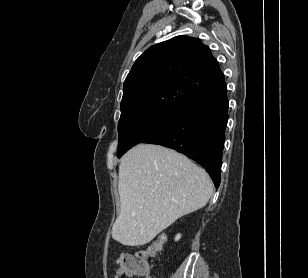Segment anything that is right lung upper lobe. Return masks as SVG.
<instances>
[{
    "mask_svg": "<svg viewBox=\"0 0 308 278\" xmlns=\"http://www.w3.org/2000/svg\"><path fill=\"white\" fill-rule=\"evenodd\" d=\"M225 85L208 46L177 36L138 57L123 87L120 120L153 109L178 110Z\"/></svg>",
    "mask_w": 308,
    "mask_h": 278,
    "instance_id": "obj_1",
    "label": "right lung upper lobe"
}]
</instances>
